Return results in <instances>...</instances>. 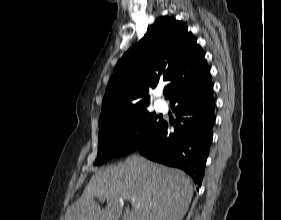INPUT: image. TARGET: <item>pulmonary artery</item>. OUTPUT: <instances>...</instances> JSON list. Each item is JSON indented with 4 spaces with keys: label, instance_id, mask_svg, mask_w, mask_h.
<instances>
[{
    "label": "pulmonary artery",
    "instance_id": "obj_1",
    "mask_svg": "<svg viewBox=\"0 0 281 220\" xmlns=\"http://www.w3.org/2000/svg\"><path fill=\"white\" fill-rule=\"evenodd\" d=\"M156 105L159 109H164L166 107V104L162 100H157Z\"/></svg>",
    "mask_w": 281,
    "mask_h": 220
}]
</instances>
